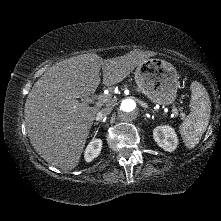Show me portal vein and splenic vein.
Listing matches in <instances>:
<instances>
[{"mask_svg":"<svg viewBox=\"0 0 221 221\" xmlns=\"http://www.w3.org/2000/svg\"><path fill=\"white\" fill-rule=\"evenodd\" d=\"M109 101V99L107 98V95H105V94H102V95H99L98 96V103L100 104V103H106V102H108ZM172 112L174 113V114H178V110L175 108V107H172Z\"/></svg>","mask_w":221,"mask_h":221,"instance_id":"obj_1","label":"portal vein and splenic vein"}]
</instances>
